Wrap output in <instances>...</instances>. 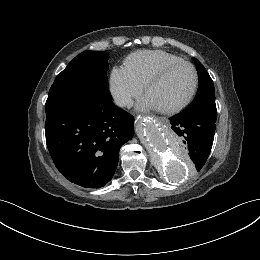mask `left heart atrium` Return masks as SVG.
Wrapping results in <instances>:
<instances>
[{"label": "left heart atrium", "instance_id": "1", "mask_svg": "<svg viewBox=\"0 0 260 260\" xmlns=\"http://www.w3.org/2000/svg\"><path fill=\"white\" fill-rule=\"evenodd\" d=\"M139 109H154V108H159L153 100L148 96L145 95L141 101L138 104Z\"/></svg>", "mask_w": 260, "mask_h": 260}]
</instances>
